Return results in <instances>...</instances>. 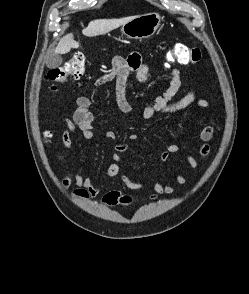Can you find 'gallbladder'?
Here are the masks:
<instances>
[{
  "label": "gallbladder",
  "mask_w": 249,
  "mask_h": 294,
  "mask_svg": "<svg viewBox=\"0 0 249 294\" xmlns=\"http://www.w3.org/2000/svg\"><path fill=\"white\" fill-rule=\"evenodd\" d=\"M61 64H62V57L60 54H56V53L50 55L46 61V66L49 69H55L59 67Z\"/></svg>",
  "instance_id": "gallbladder-1"
}]
</instances>
